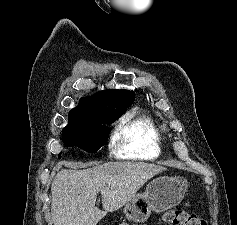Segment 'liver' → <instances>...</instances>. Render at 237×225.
Segmentation results:
<instances>
[{
  "label": "liver",
  "instance_id": "obj_1",
  "mask_svg": "<svg viewBox=\"0 0 237 225\" xmlns=\"http://www.w3.org/2000/svg\"><path fill=\"white\" fill-rule=\"evenodd\" d=\"M165 167L144 162H108L88 169H62L51 185L54 225H96L133 198ZM101 193L102 206H95Z\"/></svg>",
  "mask_w": 237,
  "mask_h": 225
}]
</instances>
